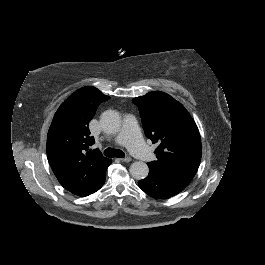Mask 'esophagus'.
I'll list each match as a JSON object with an SVG mask.
<instances>
[{
	"instance_id": "34e87169",
	"label": "esophagus",
	"mask_w": 265,
	"mask_h": 265,
	"mask_svg": "<svg viewBox=\"0 0 265 265\" xmlns=\"http://www.w3.org/2000/svg\"><path fill=\"white\" fill-rule=\"evenodd\" d=\"M120 160L122 162H130L132 159H131V157L127 156V157H124V158H120Z\"/></svg>"
}]
</instances>
